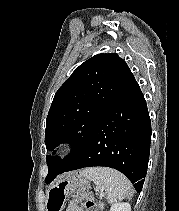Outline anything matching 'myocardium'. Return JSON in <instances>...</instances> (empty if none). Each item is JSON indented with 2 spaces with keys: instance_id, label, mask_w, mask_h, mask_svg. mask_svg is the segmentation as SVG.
<instances>
[{
  "instance_id": "1",
  "label": "myocardium",
  "mask_w": 179,
  "mask_h": 211,
  "mask_svg": "<svg viewBox=\"0 0 179 211\" xmlns=\"http://www.w3.org/2000/svg\"><path fill=\"white\" fill-rule=\"evenodd\" d=\"M66 148H67V145L66 144H60L59 146H58V152L59 153H62V152H64L65 150H66Z\"/></svg>"
}]
</instances>
